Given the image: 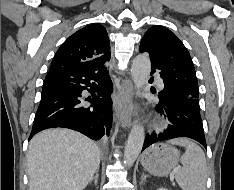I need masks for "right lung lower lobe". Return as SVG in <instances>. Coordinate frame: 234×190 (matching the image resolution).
I'll use <instances>...</instances> for the list:
<instances>
[{
  "instance_id": "obj_1",
  "label": "right lung lower lobe",
  "mask_w": 234,
  "mask_h": 190,
  "mask_svg": "<svg viewBox=\"0 0 234 190\" xmlns=\"http://www.w3.org/2000/svg\"><path fill=\"white\" fill-rule=\"evenodd\" d=\"M105 62L93 59L48 72L29 140L54 127L73 129L93 140L109 134L113 87ZM84 90L92 96L85 98Z\"/></svg>"
}]
</instances>
